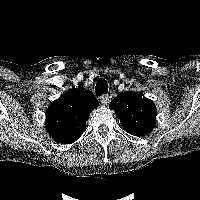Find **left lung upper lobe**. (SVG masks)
<instances>
[{
  "label": "left lung upper lobe",
  "instance_id": "1",
  "mask_svg": "<svg viewBox=\"0 0 200 200\" xmlns=\"http://www.w3.org/2000/svg\"><path fill=\"white\" fill-rule=\"evenodd\" d=\"M116 112L125 130L132 135L142 136L150 132L156 123L154 102L141 92H125L118 95L109 105Z\"/></svg>",
  "mask_w": 200,
  "mask_h": 200
}]
</instances>
